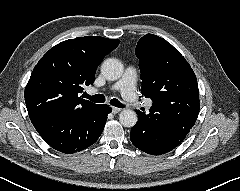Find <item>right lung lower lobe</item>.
<instances>
[{
    "label": "right lung lower lobe",
    "instance_id": "right-lung-lower-lobe-1",
    "mask_svg": "<svg viewBox=\"0 0 240 191\" xmlns=\"http://www.w3.org/2000/svg\"><path fill=\"white\" fill-rule=\"evenodd\" d=\"M110 112L108 105H95L80 112L50 113L32 124L53 149L71 154L84 150L98 140Z\"/></svg>",
    "mask_w": 240,
    "mask_h": 191
}]
</instances>
